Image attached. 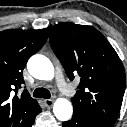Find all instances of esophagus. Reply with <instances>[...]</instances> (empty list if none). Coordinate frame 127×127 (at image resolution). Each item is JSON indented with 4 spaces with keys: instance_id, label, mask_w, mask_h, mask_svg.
Instances as JSON below:
<instances>
[{
    "instance_id": "1",
    "label": "esophagus",
    "mask_w": 127,
    "mask_h": 127,
    "mask_svg": "<svg viewBox=\"0 0 127 127\" xmlns=\"http://www.w3.org/2000/svg\"><path fill=\"white\" fill-rule=\"evenodd\" d=\"M44 104L48 109H51L54 104V101L52 99H45Z\"/></svg>"
}]
</instances>
